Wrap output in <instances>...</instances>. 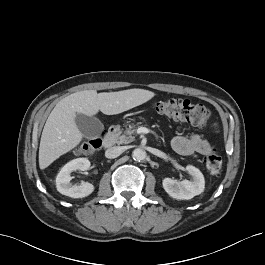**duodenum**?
Instances as JSON below:
<instances>
[{"label":"duodenum","instance_id":"duodenum-1","mask_svg":"<svg viewBox=\"0 0 265 265\" xmlns=\"http://www.w3.org/2000/svg\"><path fill=\"white\" fill-rule=\"evenodd\" d=\"M117 138L115 129H111L103 138V146L105 148H111L114 146Z\"/></svg>","mask_w":265,"mask_h":265}]
</instances>
